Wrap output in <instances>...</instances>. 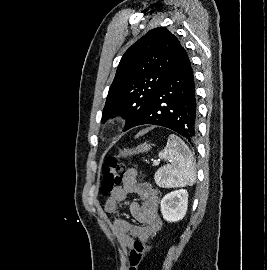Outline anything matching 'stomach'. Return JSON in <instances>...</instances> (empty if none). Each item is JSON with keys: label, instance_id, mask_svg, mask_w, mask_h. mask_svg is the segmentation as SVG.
Returning a JSON list of instances; mask_svg holds the SVG:
<instances>
[{"label": "stomach", "instance_id": "1", "mask_svg": "<svg viewBox=\"0 0 267 270\" xmlns=\"http://www.w3.org/2000/svg\"><path fill=\"white\" fill-rule=\"evenodd\" d=\"M151 148L150 144L144 143L139 145L135 150L132 149H124L123 151L120 152V156L122 157H127L136 153H143L149 151Z\"/></svg>", "mask_w": 267, "mask_h": 270}]
</instances>
